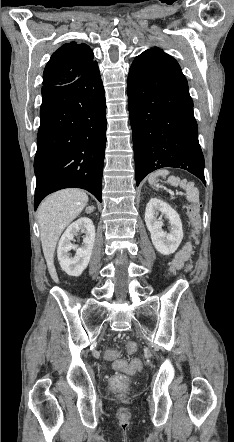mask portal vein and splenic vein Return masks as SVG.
I'll list each match as a JSON object with an SVG mask.
<instances>
[{
	"instance_id": "portal-vein-and-splenic-vein-1",
	"label": "portal vein and splenic vein",
	"mask_w": 234,
	"mask_h": 442,
	"mask_svg": "<svg viewBox=\"0 0 234 442\" xmlns=\"http://www.w3.org/2000/svg\"><path fill=\"white\" fill-rule=\"evenodd\" d=\"M169 192H170V194L171 195H183V193L182 192H179V191H176L175 193L173 192V191H171V190H169Z\"/></svg>"
}]
</instances>
